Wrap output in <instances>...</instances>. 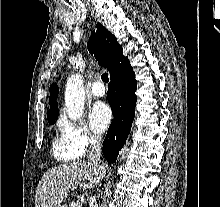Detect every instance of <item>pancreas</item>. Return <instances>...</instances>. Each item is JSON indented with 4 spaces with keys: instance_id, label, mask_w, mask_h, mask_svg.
I'll return each instance as SVG.
<instances>
[{
    "instance_id": "1",
    "label": "pancreas",
    "mask_w": 220,
    "mask_h": 207,
    "mask_svg": "<svg viewBox=\"0 0 220 207\" xmlns=\"http://www.w3.org/2000/svg\"><path fill=\"white\" fill-rule=\"evenodd\" d=\"M67 207H81V206L79 205V202H72V203L69 204V206H67Z\"/></svg>"
}]
</instances>
